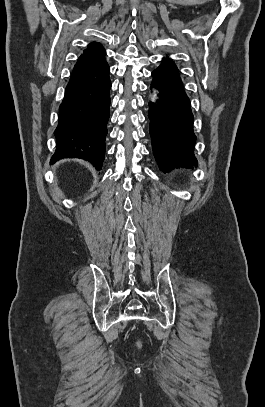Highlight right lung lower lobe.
<instances>
[{
	"instance_id": "98d812e1",
	"label": "right lung lower lobe",
	"mask_w": 265,
	"mask_h": 407,
	"mask_svg": "<svg viewBox=\"0 0 265 407\" xmlns=\"http://www.w3.org/2000/svg\"><path fill=\"white\" fill-rule=\"evenodd\" d=\"M109 72L105 52L78 59L59 107L54 132L57 146L51 163L79 158L101 170L109 119Z\"/></svg>"
}]
</instances>
